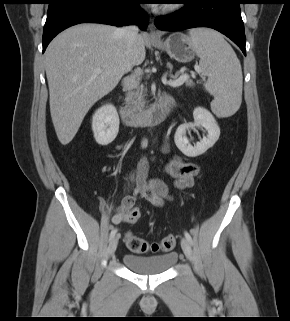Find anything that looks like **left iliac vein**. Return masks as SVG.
Instances as JSON below:
<instances>
[{"mask_svg": "<svg viewBox=\"0 0 290 321\" xmlns=\"http://www.w3.org/2000/svg\"><path fill=\"white\" fill-rule=\"evenodd\" d=\"M182 249L188 259H192V249L191 244L186 238L181 239Z\"/></svg>", "mask_w": 290, "mask_h": 321, "instance_id": "left-iliac-vein-1", "label": "left iliac vein"}]
</instances>
